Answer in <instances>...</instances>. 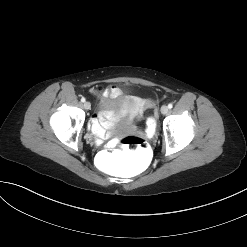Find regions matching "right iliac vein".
Listing matches in <instances>:
<instances>
[{"mask_svg": "<svg viewBox=\"0 0 247 247\" xmlns=\"http://www.w3.org/2000/svg\"><path fill=\"white\" fill-rule=\"evenodd\" d=\"M84 108H85L86 110H89V109L91 108L90 102L86 101V102L84 103Z\"/></svg>", "mask_w": 247, "mask_h": 247, "instance_id": "right-iliac-vein-1", "label": "right iliac vein"}]
</instances>
